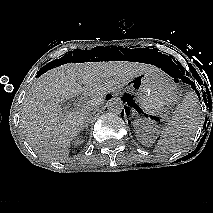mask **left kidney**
Wrapping results in <instances>:
<instances>
[{"label": "left kidney", "instance_id": "obj_1", "mask_svg": "<svg viewBox=\"0 0 213 213\" xmlns=\"http://www.w3.org/2000/svg\"><path fill=\"white\" fill-rule=\"evenodd\" d=\"M136 134L142 144H150L153 142V134L156 132V126L153 121L139 119L134 122Z\"/></svg>", "mask_w": 213, "mask_h": 213}]
</instances>
